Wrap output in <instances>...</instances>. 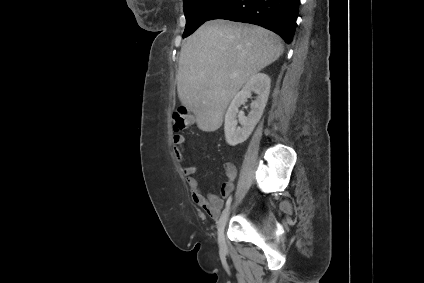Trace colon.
Segmentation results:
<instances>
[{
    "label": "colon",
    "instance_id": "1",
    "mask_svg": "<svg viewBox=\"0 0 424 283\" xmlns=\"http://www.w3.org/2000/svg\"><path fill=\"white\" fill-rule=\"evenodd\" d=\"M190 123L188 111L185 107H179L172 115V127L175 132L184 131Z\"/></svg>",
    "mask_w": 424,
    "mask_h": 283
}]
</instances>
